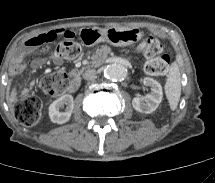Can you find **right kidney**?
<instances>
[{"label": "right kidney", "mask_w": 215, "mask_h": 183, "mask_svg": "<svg viewBox=\"0 0 215 183\" xmlns=\"http://www.w3.org/2000/svg\"><path fill=\"white\" fill-rule=\"evenodd\" d=\"M64 105H66V109L64 111H60ZM73 108L74 101L72 95H62L50 104L49 117L53 123L64 124L70 119Z\"/></svg>", "instance_id": "obj_1"}]
</instances>
